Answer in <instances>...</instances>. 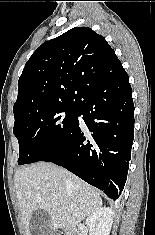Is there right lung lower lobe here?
Instances as JSON below:
<instances>
[{
	"mask_svg": "<svg viewBox=\"0 0 155 235\" xmlns=\"http://www.w3.org/2000/svg\"><path fill=\"white\" fill-rule=\"evenodd\" d=\"M69 139L41 161L62 166L115 200L124 188L134 139V104L125 71L86 91Z\"/></svg>",
	"mask_w": 155,
	"mask_h": 235,
	"instance_id": "obj_1",
	"label": "right lung lower lobe"
}]
</instances>
